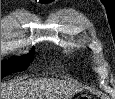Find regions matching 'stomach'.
Masks as SVG:
<instances>
[{
	"mask_svg": "<svg viewBox=\"0 0 115 99\" xmlns=\"http://www.w3.org/2000/svg\"><path fill=\"white\" fill-rule=\"evenodd\" d=\"M86 97H88V96H86V95H82V96H81V98H86ZM78 99H79V98H78Z\"/></svg>",
	"mask_w": 115,
	"mask_h": 99,
	"instance_id": "1",
	"label": "stomach"
}]
</instances>
